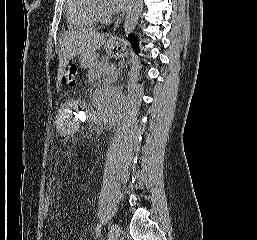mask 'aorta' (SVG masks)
<instances>
[{
    "label": "aorta",
    "instance_id": "762f6f07",
    "mask_svg": "<svg viewBox=\"0 0 257 240\" xmlns=\"http://www.w3.org/2000/svg\"><path fill=\"white\" fill-rule=\"evenodd\" d=\"M142 9L143 0H133L124 20V31L126 34H130L135 29L142 14Z\"/></svg>",
    "mask_w": 257,
    "mask_h": 240
}]
</instances>
